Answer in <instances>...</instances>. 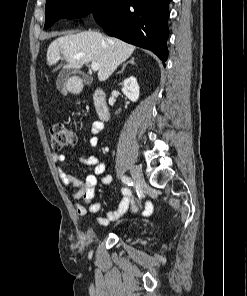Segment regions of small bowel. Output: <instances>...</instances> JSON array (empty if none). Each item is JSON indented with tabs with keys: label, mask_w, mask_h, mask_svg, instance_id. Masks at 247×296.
Instances as JSON below:
<instances>
[{
	"label": "small bowel",
	"mask_w": 247,
	"mask_h": 296,
	"mask_svg": "<svg viewBox=\"0 0 247 296\" xmlns=\"http://www.w3.org/2000/svg\"><path fill=\"white\" fill-rule=\"evenodd\" d=\"M103 130V123L101 121H93L89 128L90 139L89 144L96 148L99 146L100 141L98 135ZM52 159L56 163L59 178L63 185L71 187L73 190V198L75 200L74 206L76 212L80 216H86L88 214L98 212L102 205L101 203H93L95 196V188L98 183V177H101V184L103 186L110 185L112 183V176L109 174L104 175L105 165L98 156H81L79 162L85 166H89L93 169L91 174H88L84 180H79L68 172L64 166L66 157L62 154L53 153ZM82 202H78V200ZM135 212L137 210V203L135 197L130 188L122 189V197L118 204V207L114 211H108L104 216L96 218V222L100 225H107L110 221L116 220L123 216L128 210Z\"/></svg>",
	"instance_id": "obj_1"
}]
</instances>
